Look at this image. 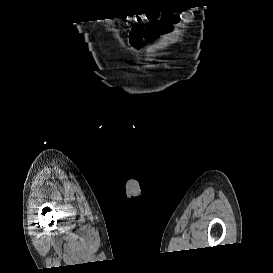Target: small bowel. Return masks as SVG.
<instances>
[{
    "label": "small bowel",
    "mask_w": 273,
    "mask_h": 273,
    "mask_svg": "<svg viewBox=\"0 0 273 273\" xmlns=\"http://www.w3.org/2000/svg\"><path fill=\"white\" fill-rule=\"evenodd\" d=\"M180 21L178 15H170L163 19H156L148 24V35L145 36L147 43L153 44L158 41L161 35L171 32V27ZM142 45L136 46L141 48Z\"/></svg>",
    "instance_id": "1"
}]
</instances>
